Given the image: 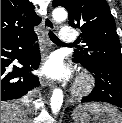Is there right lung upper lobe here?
<instances>
[{"instance_id": "right-lung-upper-lobe-1", "label": "right lung upper lobe", "mask_w": 122, "mask_h": 123, "mask_svg": "<svg viewBox=\"0 0 122 123\" xmlns=\"http://www.w3.org/2000/svg\"><path fill=\"white\" fill-rule=\"evenodd\" d=\"M40 22L29 0H1V40L30 39Z\"/></svg>"}]
</instances>
